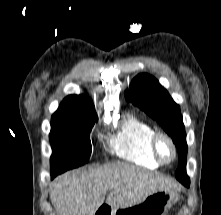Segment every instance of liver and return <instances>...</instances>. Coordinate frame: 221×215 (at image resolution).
<instances>
[{
	"mask_svg": "<svg viewBox=\"0 0 221 215\" xmlns=\"http://www.w3.org/2000/svg\"><path fill=\"white\" fill-rule=\"evenodd\" d=\"M178 188L172 178L118 162L57 177L50 199L58 215H94L108 191L106 204L116 210L136 205L157 190Z\"/></svg>",
	"mask_w": 221,
	"mask_h": 215,
	"instance_id": "obj_1",
	"label": "liver"
}]
</instances>
